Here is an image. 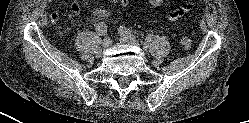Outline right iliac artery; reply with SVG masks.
<instances>
[{
	"label": "right iliac artery",
	"mask_w": 249,
	"mask_h": 123,
	"mask_svg": "<svg viewBox=\"0 0 249 123\" xmlns=\"http://www.w3.org/2000/svg\"><path fill=\"white\" fill-rule=\"evenodd\" d=\"M96 30L102 36H106L107 35V26L103 22H100V23H98L96 25Z\"/></svg>",
	"instance_id": "right-iliac-artery-1"
}]
</instances>
